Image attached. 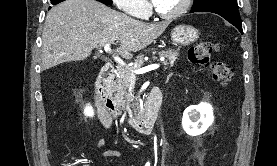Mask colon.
<instances>
[{"mask_svg": "<svg viewBox=\"0 0 277 166\" xmlns=\"http://www.w3.org/2000/svg\"><path fill=\"white\" fill-rule=\"evenodd\" d=\"M220 49V44L216 42L200 41L189 49L188 58L191 63L208 69L215 81L227 86L233 79L232 68L226 62L212 59V55L215 52H219Z\"/></svg>", "mask_w": 277, "mask_h": 166, "instance_id": "5ec220e1", "label": "colon"}]
</instances>
